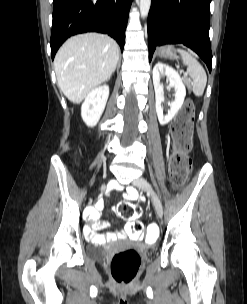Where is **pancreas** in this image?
<instances>
[{"instance_id":"obj_1","label":"pancreas","mask_w":247,"mask_h":304,"mask_svg":"<svg viewBox=\"0 0 247 304\" xmlns=\"http://www.w3.org/2000/svg\"><path fill=\"white\" fill-rule=\"evenodd\" d=\"M184 81H185L188 89H190L191 88L190 81L188 79H184Z\"/></svg>"}]
</instances>
